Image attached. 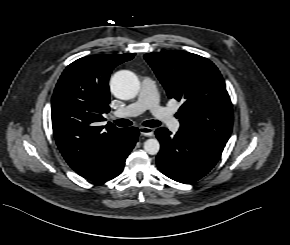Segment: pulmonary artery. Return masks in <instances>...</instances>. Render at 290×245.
Segmentation results:
<instances>
[{
	"label": "pulmonary artery",
	"instance_id": "pulmonary-artery-1",
	"mask_svg": "<svg viewBox=\"0 0 290 245\" xmlns=\"http://www.w3.org/2000/svg\"><path fill=\"white\" fill-rule=\"evenodd\" d=\"M147 109L152 112L159 122L165 124L172 131L176 132L179 130L180 124L174 118L173 113L160 105L156 84L149 77H144L141 80L140 90L136 100L114 111L112 115L115 118L132 117L141 114Z\"/></svg>",
	"mask_w": 290,
	"mask_h": 245
}]
</instances>
